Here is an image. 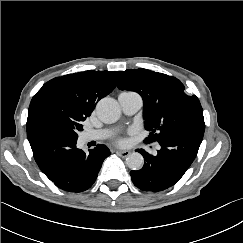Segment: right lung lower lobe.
<instances>
[{"label":"right lung lower lobe","instance_id":"obj_1","mask_svg":"<svg viewBox=\"0 0 243 243\" xmlns=\"http://www.w3.org/2000/svg\"><path fill=\"white\" fill-rule=\"evenodd\" d=\"M33 156L41 171L60 189L82 192L95 182L106 157L105 145L98 144L89 154L76 147L77 139L49 125L27 128Z\"/></svg>","mask_w":243,"mask_h":243}]
</instances>
